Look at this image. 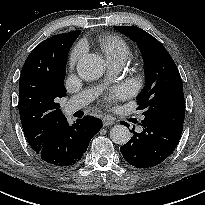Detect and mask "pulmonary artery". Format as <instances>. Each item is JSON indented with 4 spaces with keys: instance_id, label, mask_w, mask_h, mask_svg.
I'll return each mask as SVG.
<instances>
[{
    "instance_id": "pulmonary-artery-1",
    "label": "pulmonary artery",
    "mask_w": 205,
    "mask_h": 205,
    "mask_svg": "<svg viewBox=\"0 0 205 205\" xmlns=\"http://www.w3.org/2000/svg\"><path fill=\"white\" fill-rule=\"evenodd\" d=\"M124 63L121 61L111 62L109 63V71L110 73L119 72ZM97 95V91L94 89H86L81 93L72 97L65 105L64 111L68 114L73 113L84 106H86L89 102H91L94 97Z\"/></svg>"
}]
</instances>
